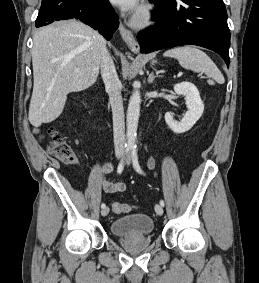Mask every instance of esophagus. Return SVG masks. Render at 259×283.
<instances>
[{
    "label": "esophagus",
    "mask_w": 259,
    "mask_h": 283,
    "mask_svg": "<svg viewBox=\"0 0 259 283\" xmlns=\"http://www.w3.org/2000/svg\"><path fill=\"white\" fill-rule=\"evenodd\" d=\"M119 32L121 34L122 39L124 42L129 46L132 52L138 53L139 52V44L136 41L133 33L124 27V25L121 23L119 26Z\"/></svg>",
    "instance_id": "obj_1"
}]
</instances>
